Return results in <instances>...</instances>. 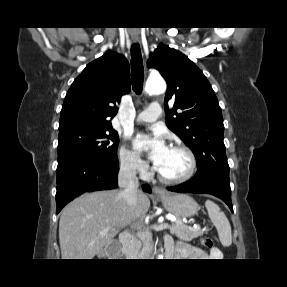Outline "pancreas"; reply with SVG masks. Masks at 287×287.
<instances>
[{"label": "pancreas", "mask_w": 287, "mask_h": 287, "mask_svg": "<svg viewBox=\"0 0 287 287\" xmlns=\"http://www.w3.org/2000/svg\"><path fill=\"white\" fill-rule=\"evenodd\" d=\"M170 233L183 241H191L194 238L203 235L204 230H201L199 227L191 228L183 224L182 220L178 218L172 223ZM148 248L149 242L147 237L142 233H138L129 245V255L134 257L144 256Z\"/></svg>", "instance_id": "cf45deb5"}]
</instances>
